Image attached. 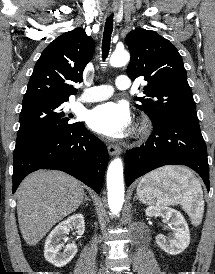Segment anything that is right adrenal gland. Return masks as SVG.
Masks as SVG:
<instances>
[{
	"mask_svg": "<svg viewBox=\"0 0 215 274\" xmlns=\"http://www.w3.org/2000/svg\"><path fill=\"white\" fill-rule=\"evenodd\" d=\"M86 201H90V199L87 197L86 193H85V196H84V200L82 202V205L86 202Z\"/></svg>",
	"mask_w": 215,
	"mask_h": 274,
	"instance_id": "1",
	"label": "right adrenal gland"
}]
</instances>
